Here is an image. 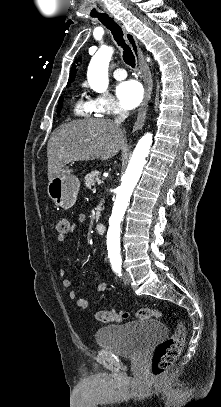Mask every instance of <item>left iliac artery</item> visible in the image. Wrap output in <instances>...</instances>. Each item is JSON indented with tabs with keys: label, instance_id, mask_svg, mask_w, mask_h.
Segmentation results:
<instances>
[{
	"label": "left iliac artery",
	"instance_id": "left-iliac-artery-1",
	"mask_svg": "<svg viewBox=\"0 0 221 407\" xmlns=\"http://www.w3.org/2000/svg\"><path fill=\"white\" fill-rule=\"evenodd\" d=\"M112 268L114 272L118 274V276H121V264H112Z\"/></svg>",
	"mask_w": 221,
	"mask_h": 407
}]
</instances>
